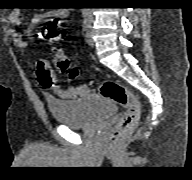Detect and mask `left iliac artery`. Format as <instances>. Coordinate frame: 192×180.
<instances>
[{
  "label": "left iliac artery",
  "mask_w": 192,
  "mask_h": 180,
  "mask_svg": "<svg viewBox=\"0 0 192 180\" xmlns=\"http://www.w3.org/2000/svg\"><path fill=\"white\" fill-rule=\"evenodd\" d=\"M90 23H91V16L87 14V15H85V19H84V23H83L84 29L90 27Z\"/></svg>",
  "instance_id": "obj_1"
}]
</instances>
